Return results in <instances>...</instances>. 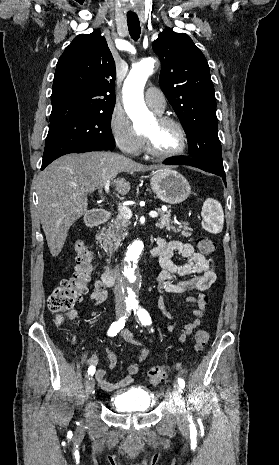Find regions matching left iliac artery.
I'll list each match as a JSON object with an SVG mask.
<instances>
[{
	"label": "left iliac artery",
	"instance_id": "1",
	"mask_svg": "<svg viewBox=\"0 0 279 465\" xmlns=\"http://www.w3.org/2000/svg\"><path fill=\"white\" fill-rule=\"evenodd\" d=\"M132 308L134 314L138 316L139 320L143 325H150L152 323L151 317L145 309L141 308L138 304H134ZM178 384L180 388L185 387V381L181 378L178 379ZM189 419L191 420V416Z\"/></svg>",
	"mask_w": 279,
	"mask_h": 465
}]
</instances>
